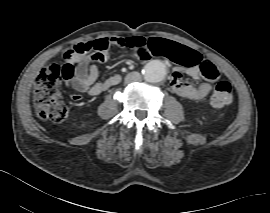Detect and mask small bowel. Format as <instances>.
<instances>
[{"label": "small bowel", "mask_w": 270, "mask_h": 213, "mask_svg": "<svg viewBox=\"0 0 270 213\" xmlns=\"http://www.w3.org/2000/svg\"><path fill=\"white\" fill-rule=\"evenodd\" d=\"M119 39V37H107L83 41L72 47L76 51L82 49V52L76 57L67 59L68 62L75 64L74 77L69 82V85L75 91L96 96L120 82L121 77L117 74L96 82L99 75L97 64L105 62L113 48L120 47L118 44ZM152 56H160L176 64L172 72L171 82L173 90L183 99L196 101L206 97L211 92L212 86L209 81L194 85L182 80L185 74L194 80H198L203 76L201 72L203 61L197 51L177 42L158 38L153 45L146 47L140 53L141 59L139 57L137 59L146 60ZM72 98L79 100L81 96L74 94Z\"/></svg>", "instance_id": "c3829d8e"}]
</instances>
